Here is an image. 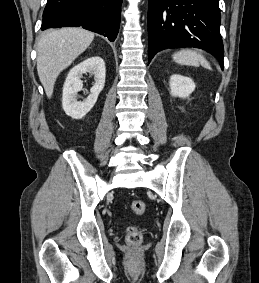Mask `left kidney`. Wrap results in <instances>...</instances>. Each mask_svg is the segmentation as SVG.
Instances as JSON below:
<instances>
[{"instance_id": "left-kidney-1", "label": "left kidney", "mask_w": 259, "mask_h": 283, "mask_svg": "<svg viewBox=\"0 0 259 283\" xmlns=\"http://www.w3.org/2000/svg\"><path fill=\"white\" fill-rule=\"evenodd\" d=\"M171 95L174 97L186 98L194 90L195 84L192 79L178 74H173L170 77Z\"/></svg>"}]
</instances>
